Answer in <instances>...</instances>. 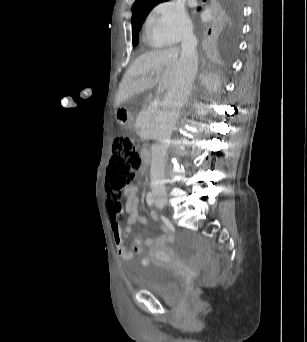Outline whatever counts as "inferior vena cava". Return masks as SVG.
<instances>
[{
    "label": "inferior vena cava",
    "instance_id": "602c4592",
    "mask_svg": "<svg viewBox=\"0 0 307 342\" xmlns=\"http://www.w3.org/2000/svg\"><path fill=\"white\" fill-rule=\"evenodd\" d=\"M197 40L190 32L185 34L181 48L179 66L163 100V110L157 122L155 136L158 144L152 146L151 160V188L154 192L165 194V156L169 148L171 134L179 118L180 108L185 104L189 96L190 88L197 72Z\"/></svg>",
    "mask_w": 307,
    "mask_h": 342
}]
</instances>
